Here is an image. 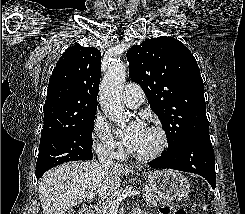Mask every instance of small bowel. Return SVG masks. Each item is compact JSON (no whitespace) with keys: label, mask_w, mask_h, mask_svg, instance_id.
Returning a JSON list of instances; mask_svg holds the SVG:
<instances>
[{"label":"small bowel","mask_w":245,"mask_h":214,"mask_svg":"<svg viewBox=\"0 0 245 214\" xmlns=\"http://www.w3.org/2000/svg\"><path fill=\"white\" fill-rule=\"evenodd\" d=\"M134 214H146L143 210L138 209L134 212Z\"/></svg>","instance_id":"small-bowel-1"}]
</instances>
